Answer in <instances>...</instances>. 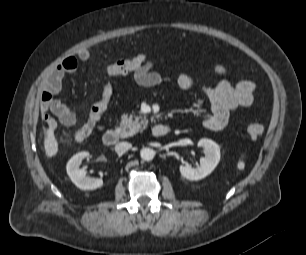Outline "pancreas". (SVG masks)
Segmentation results:
<instances>
[{
	"label": "pancreas",
	"instance_id": "1",
	"mask_svg": "<svg viewBox=\"0 0 306 255\" xmlns=\"http://www.w3.org/2000/svg\"><path fill=\"white\" fill-rule=\"evenodd\" d=\"M146 116L123 115L119 125L121 138H127L146 128Z\"/></svg>",
	"mask_w": 306,
	"mask_h": 255
}]
</instances>
